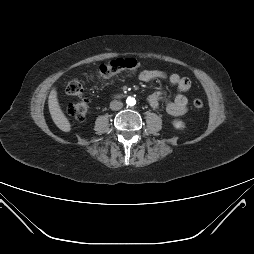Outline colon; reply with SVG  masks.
<instances>
[{"mask_svg":"<svg viewBox=\"0 0 254 254\" xmlns=\"http://www.w3.org/2000/svg\"><path fill=\"white\" fill-rule=\"evenodd\" d=\"M141 64L139 61L133 58L117 59L110 61L104 65H101L98 69V76L101 79H110L115 74L122 70H135L140 68ZM68 95L78 97V100L68 105V113L77 121H83L89 110V99L84 95V85L80 77L71 79L66 87ZM193 106L196 109H202L204 103L200 99L193 101Z\"/></svg>","mask_w":254,"mask_h":254,"instance_id":"5ec220e1","label":"colon"}]
</instances>
